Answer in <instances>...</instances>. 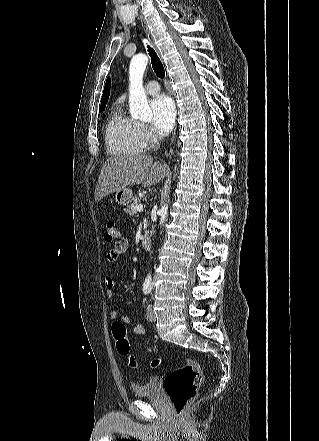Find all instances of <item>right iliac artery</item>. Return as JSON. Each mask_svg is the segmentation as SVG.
<instances>
[{
  "label": "right iliac artery",
  "instance_id": "1",
  "mask_svg": "<svg viewBox=\"0 0 319 441\" xmlns=\"http://www.w3.org/2000/svg\"><path fill=\"white\" fill-rule=\"evenodd\" d=\"M149 293V290H144V294H148Z\"/></svg>",
  "mask_w": 319,
  "mask_h": 441
}]
</instances>
